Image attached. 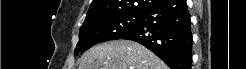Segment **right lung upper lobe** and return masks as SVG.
<instances>
[{
    "label": "right lung upper lobe",
    "instance_id": "obj_1",
    "mask_svg": "<svg viewBox=\"0 0 246 69\" xmlns=\"http://www.w3.org/2000/svg\"><path fill=\"white\" fill-rule=\"evenodd\" d=\"M164 0H93L85 21L122 14H142Z\"/></svg>",
    "mask_w": 246,
    "mask_h": 69
}]
</instances>
